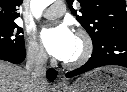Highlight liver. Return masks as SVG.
I'll list each match as a JSON object with an SVG mask.
<instances>
[{
	"instance_id": "liver-1",
	"label": "liver",
	"mask_w": 127,
	"mask_h": 92,
	"mask_svg": "<svg viewBox=\"0 0 127 92\" xmlns=\"http://www.w3.org/2000/svg\"><path fill=\"white\" fill-rule=\"evenodd\" d=\"M0 92H50V87L37 84L26 69L0 60Z\"/></svg>"
}]
</instances>
